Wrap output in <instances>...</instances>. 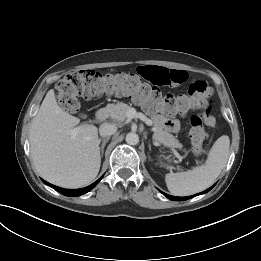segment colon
Returning a JSON list of instances; mask_svg holds the SVG:
<instances>
[{"instance_id": "colon-1", "label": "colon", "mask_w": 261, "mask_h": 261, "mask_svg": "<svg viewBox=\"0 0 261 261\" xmlns=\"http://www.w3.org/2000/svg\"><path fill=\"white\" fill-rule=\"evenodd\" d=\"M212 87L203 79H196L188 87L187 94L161 92L151 87L138 75L115 71L112 73L96 70H78L65 75L57 84L59 105L68 112H77L79 98L116 95L132 97L143 104L150 112H163L167 115L184 114L192 109L198 113L191 117L190 139L197 153H201L206 137L204 126L214 128L216 118L211 112L210 96Z\"/></svg>"}]
</instances>
